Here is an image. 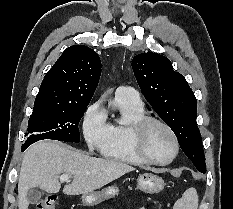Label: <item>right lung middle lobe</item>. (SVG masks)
Segmentation results:
<instances>
[{"mask_svg": "<svg viewBox=\"0 0 233 209\" xmlns=\"http://www.w3.org/2000/svg\"><path fill=\"white\" fill-rule=\"evenodd\" d=\"M88 104L77 105L67 110L33 109L28 124L27 139L22 151L32 143L42 139L65 142H79L78 124Z\"/></svg>", "mask_w": 233, "mask_h": 209, "instance_id": "dd1d6c3e", "label": "right lung middle lobe"}]
</instances>
